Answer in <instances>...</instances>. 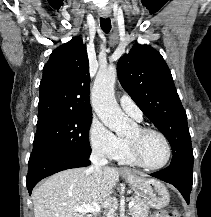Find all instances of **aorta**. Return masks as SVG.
Masks as SVG:
<instances>
[{
    "instance_id": "aorta-1",
    "label": "aorta",
    "mask_w": 211,
    "mask_h": 217,
    "mask_svg": "<svg viewBox=\"0 0 211 217\" xmlns=\"http://www.w3.org/2000/svg\"><path fill=\"white\" fill-rule=\"evenodd\" d=\"M116 77L115 66L98 71L91 92L92 106L105 126L117 135H124L130 129V120L122 112L114 96ZM107 217H114V208L109 209Z\"/></svg>"
}]
</instances>
